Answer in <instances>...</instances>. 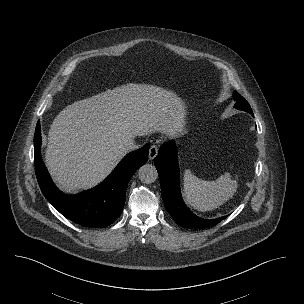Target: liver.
Listing matches in <instances>:
<instances>
[{"mask_svg": "<svg viewBox=\"0 0 304 304\" xmlns=\"http://www.w3.org/2000/svg\"><path fill=\"white\" fill-rule=\"evenodd\" d=\"M186 107L173 91L128 83L65 107L51 124L46 166L57 186L77 192L99 184L128 152L125 142L184 129Z\"/></svg>", "mask_w": 304, "mask_h": 304, "instance_id": "obj_1", "label": "liver"}]
</instances>
